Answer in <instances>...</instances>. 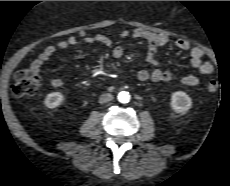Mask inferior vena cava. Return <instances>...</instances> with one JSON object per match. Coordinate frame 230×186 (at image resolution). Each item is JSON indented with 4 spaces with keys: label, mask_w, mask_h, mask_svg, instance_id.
Masks as SVG:
<instances>
[{
    "label": "inferior vena cava",
    "mask_w": 230,
    "mask_h": 186,
    "mask_svg": "<svg viewBox=\"0 0 230 186\" xmlns=\"http://www.w3.org/2000/svg\"><path fill=\"white\" fill-rule=\"evenodd\" d=\"M113 100V96L110 93H104L99 98V103H107L109 101Z\"/></svg>",
    "instance_id": "602c4592"
}]
</instances>
